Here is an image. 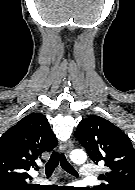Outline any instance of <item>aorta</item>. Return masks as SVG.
I'll list each match as a JSON object with an SVG mask.
<instances>
[{
  "mask_svg": "<svg viewBox=\"0 0 135 190\" xmlns=\"http://www.w3.org/2000/svg\"><path fill=\"white\" fill-rule=\"evenodd\" d=\"M70 158L75 163H84L86 161V153L82 150H74L71 152Z\"/></svg>",
  "mask_w": 135,
  "mask_h": 190,
  "instance_id": "762f6f07",
  "label": "aorta"
}]
</instances>
